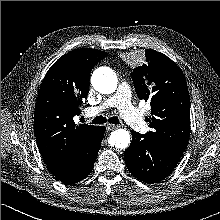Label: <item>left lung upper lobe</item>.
I'll use <instances>...</instances> for the list:
<instances>
[{"mask_svg":"<svg viewBox=\"0 0 220 220\" xmlns=\"http://www.w3.org/2000/svg\"><path fill=\"white\" fill-rule=\"evenodd\" d=\"M146 63L134 68L132 80L140 100H149L152 128L148 136L184 152L190 136V101L182 70L166 55L145 51Z\"/></svg>","mask_w":220,"mask_h":220,"instance_id":"left-lung-upper-lobe-1","label":"left lung upper lobe"}]
</instances>
